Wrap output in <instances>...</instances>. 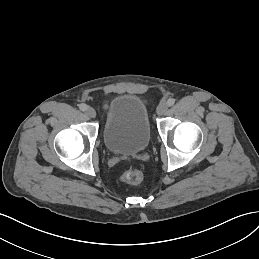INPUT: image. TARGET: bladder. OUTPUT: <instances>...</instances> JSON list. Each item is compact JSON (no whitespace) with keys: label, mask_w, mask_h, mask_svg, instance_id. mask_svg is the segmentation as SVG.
I'll return each mask as SVG.
<instances>
[{"label":"bladder","mask_w":259,"mask_h":259,"mask_svg":"<svg viewBox=\"0 0 259 259\" xmlns=\"http://www.w3.org/2000/svg\"><path fill=\"white\" fill-rule=\"evenodd\" d=\"M103 138L107 149L115 154L133 155L145 150L151 138L145 104L133 95L114 98L107 110Z\"/></svg>","instance_id":"1"}]
</instances>
